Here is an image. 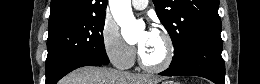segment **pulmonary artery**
<instances>
[{
    "mask_svg": "<svg viewBox=\"0 0 260 84\" xmlns=\"http://www.w3.org/2000/svg\"><path fill=\"white\" fill-rule=\"evenodd\" d=\"M148 1L145 0H133L132 5L135 9L141 10L147 6Z\"/></svg>",
    "mask_w": 260,
    "mask_h": 84,
    "instance_id": "1",
    "label": "pulmonary artery"
}]
</instances>
